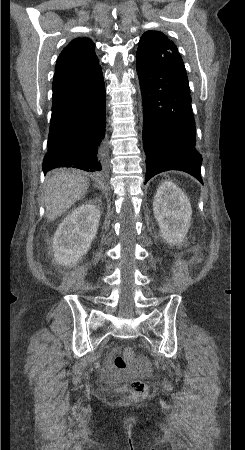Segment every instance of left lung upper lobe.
Returning a JSON list of instances; mask_svg holds the SVG:
<instances>
[{
  "label": "left lung upper lobe",
  "mask_w": 245,
  "mask_h": 450,
  "mask_svg": "<svg viewBox=\"0 0 245 450\" xmlns=\"http://www.w3.org/2000/svg\"><path fill=\"white\" fill-rule=\"evenodd\" d=\"M137 63L151 69L167 70L190 90L186 69L177 47L163 33L147 31L142 35L136 53Z\"/></svg>",
  "instance_id": "obj_1"
}]
</instances>
